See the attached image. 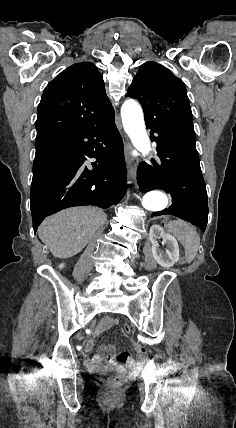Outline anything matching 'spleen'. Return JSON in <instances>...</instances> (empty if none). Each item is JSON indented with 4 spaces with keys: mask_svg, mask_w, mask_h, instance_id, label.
Returning a JSON list of instances; mask_svg holds the SVG:
<instances>
[{
    "mask_svg": "<svg viewBox=\"0 0 236 428\" xmlns=\"http://www.w3.org/2000/svg\"><path fill=\"white\" fill-rule=\"evenodd\" d=\"M168 232H171L181 242L182 246H184L185 260L188 264H191L200 246V238L196 232V228L190 226L187 222H183V220H173V222H169L168 224Z\"/></svg>",
    "mask_w": 236,
    "mask_h": 428,
    "instance_id": "1",
    "label": "spleen"
}]
</instances>
